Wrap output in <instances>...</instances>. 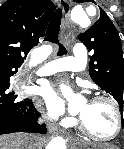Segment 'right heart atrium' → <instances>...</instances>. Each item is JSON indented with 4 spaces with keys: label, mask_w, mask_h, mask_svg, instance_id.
Returning a JSON list of instances; mask_svg holds the SVG:
<instances>
[{
    "label": "right heart atrium",
    "mask_w": 124,
    "mask_h": 149,
    "mask_svg": "<svg viewBox=\"0 0 124 149\" xmlns=\"http://www.w3.org/2000/svg\"><path fill=\"white\" fill-rule=\"evenodd\" d=\"M47 109L50 115L52 116H59L62 114V111L57 103H55L53 100L47 99ZM74 120L69 117L64 118V123L66 125L72 124Z\"/></svg>",
    "instance_id": "d8ad5b80"
}]
</instances>
